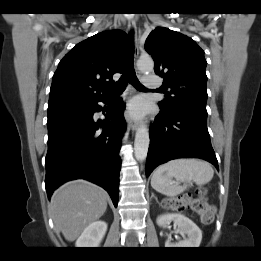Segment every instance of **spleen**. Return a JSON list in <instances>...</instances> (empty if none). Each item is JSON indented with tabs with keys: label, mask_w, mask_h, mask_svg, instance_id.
<instances>
[{
	"label": "spleen",
	"mask_w": 261,
	"mask_h": 261,
	"mask_svg": "<svg viewBox=\"0 0 261 261\" xmlns=\"http://www.w3.org/2000/svg\"><path fill=\"white\" fill-rule=\"evenodd\" d=\"M214 175L212 165L198 159H176L159 166L152 175L151 186L157 192L174 197L181 194L195 182L203 185ZM176 179V182L173 181ZM183 182L184 185H180Z\"/></svg>",
	"instance_id": "1"
}]
</instances>
